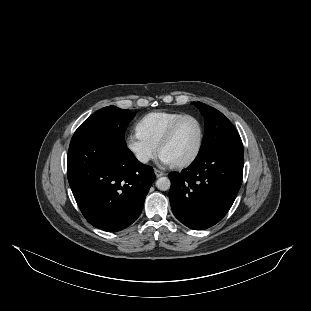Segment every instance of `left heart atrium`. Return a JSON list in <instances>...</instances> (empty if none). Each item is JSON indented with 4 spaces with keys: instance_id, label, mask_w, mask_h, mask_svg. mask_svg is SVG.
<instances>
[{
    "instance_id": "1",
    "label": "left heart atrium",
    "mask_w": 311,
    "mask_h": 311,
    "mask_svg": "<svg viewBox=\"0 0 311 311\" xmlns=\"http://www.w3.org/2000/svg\"><path fill=\"white\" fill-rule=\"evenodd\" d=\"M160 160L162 163L170 165V163L165 158H163L162 156H160Z\"/></svg>"
}]
</instances>
